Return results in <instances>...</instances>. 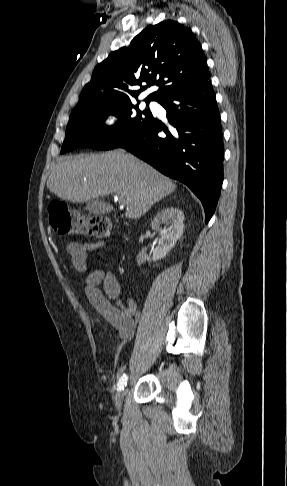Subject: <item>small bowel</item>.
Wrapping results in <instances>:
<instances>
[{
    "mask_svg": "<svg viewBox=\"0 0 287 486\" xmlns=\"http://www.w3.org/2000/svg\"><path fill=\"white\" fill-rule=\"evenodd\" d=\"M105 241H72L66 245L72 266L79 273L87 270L88 252L99 250ZM103 286V290L99 286ZM85 294L91 305L119 333L123 340H129L135 331L134 315L137 307L133 299H120L121 287L117 277L110 271L98 269L90 273L85 281Z\"/></svg>",
    "mask_w": 287,
    "mask_h": 486,
    "instance_id": "small-bowel-1",
    "label": "small bowel"
}]
</instances>
